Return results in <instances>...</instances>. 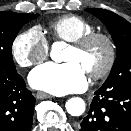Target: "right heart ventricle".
Segmentation results:
<instances>
[{"mask_svg":"<svg viewBox=\"0 0 131 131\" xmlns=\"http://www.w3.org/2000/svg\"><path fill=\"white\" fill-rule=\"evenodd\" d=\"M94 29L91 22L77 15L61 16L49 23V30L53 38L69 43L94 31Z\"/></svg>","mask_w":131,"mask_h":131,"instance_id":"right-heart-ventricle-1","label":"right heart ventricle"}]
</instances>
